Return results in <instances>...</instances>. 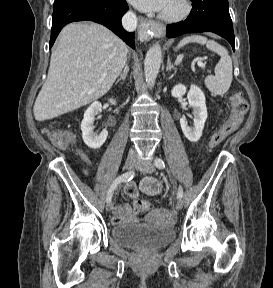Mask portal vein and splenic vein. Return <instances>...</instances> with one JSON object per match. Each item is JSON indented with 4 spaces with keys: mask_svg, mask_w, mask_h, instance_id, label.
Wrapping results in <instances>:
<instances>
[{
    "mask_svg": "<svg viewBox=\"0 0 273 288\" xmlns=\"http://www.w3.org/2000/svg\"><path fill=\"white\" fill-rule=\"evenodd\" d=\"M197 65H198L199 67H205V64H204L203 62H201V61H198Z\"/></svg>",
    "mask_w": 273,
    "mask_h": 288,
    "instance_id": "18ae733b",
    "label": "portal vein and splenic vein"
}]
</instances>
